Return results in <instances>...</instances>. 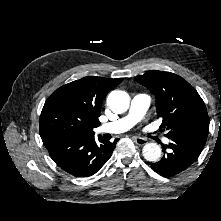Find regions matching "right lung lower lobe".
<instances>
[{"label": "right lung lower lobe", "instance_id": "right-lung-lower-lobe-1", "mask_svg": "<svg viewBox=\"0 0 221 221\" xmlns=\"http://www.w3.org/2000/svg\"><path fill=\"white\" fill-rule=\"evenodd\" d=\"M41 138L55 163L75 177L95 174L111 157L116 146V142H107L101 136L96 141L94 134L56 133Z\"/></svg>", "mask_w": 221, "mask_h": 221}]
</instances>
